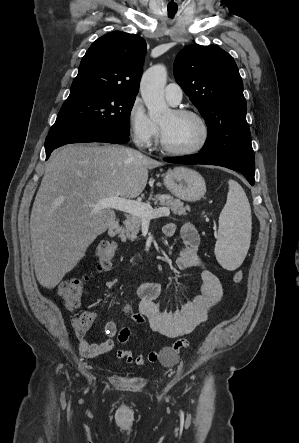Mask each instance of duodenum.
Masks as SVG:
<instances>
[{
	"label": "duodenum",
	"mask_w": 299,
	"mask_h": 443,
	"mask_svg": "<svg viewBox=\"0 0 299 443\" xmlns=\"http://www.w3.org/2000/svg\"><path fill=\"white\" fill-rule=\"evenodd\" d=\"M121 226L118 220H113L108 226V234L110 236H116L120 232Z\"/></svg>",
	"instance_id": "1"
}]
</instances>
